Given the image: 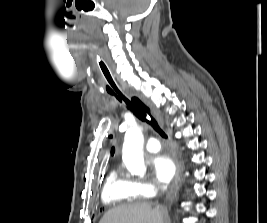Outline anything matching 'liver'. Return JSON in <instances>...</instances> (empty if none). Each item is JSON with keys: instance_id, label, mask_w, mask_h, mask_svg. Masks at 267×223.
<instances>
[{"instance_id": "6515ba94", "label": "liver", "mask_w": 267, "mask_h": 223, "mask_svg": "<svg viewBox=\"0 0 267 223\" xmlns=\"http://www.w3.org/2000/svg\"><path fill=\"white\" fill-rule=\"evenodd\" d=\"M165 211L148 202L124 204L108 210L99 223H163Z\"/></svg>"}]
</instances>
